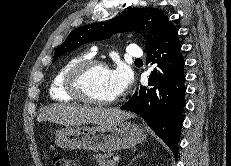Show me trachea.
<instances>
[{"mask_svg": "<svg viewBox=\"0 0 231 166\" xmlns=\"http://www.w3.org/2000/svg\"><path fill=\"white\" fill-rule=\"evenodd\" d=\"M135 61H142V60L138 58V59H136Z\"/></svg>", "mask_w": 231, "mask_h": 166, "instance_id": "obj_1", "label": "trachea"}]
</instances>
